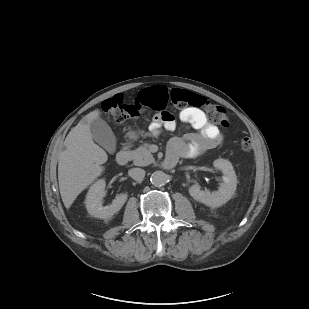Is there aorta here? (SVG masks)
Returning <instances> with one entry per match:
<instances>
[{
	"label": "aorta",
	"mask_w": 309,
	"mask_h": 309,
	"mask_svg": "<svg viewBox=\"0 0 309 309\" xmlns=\"http://www.w3.org/2000/svg\"><path fill=\"white\" fill-rule=\"evenodd\" d=\"M167 175L163 171H155L152 173L150 181L156 187H161L167 182Z\"/></svg>",
	"instance_id": "1"
}]
</instances>
